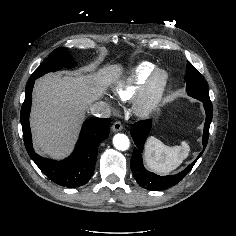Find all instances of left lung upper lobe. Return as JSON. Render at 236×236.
<instances>
[{"mask_svg":"<svg viewBox=\"0 0 236 236\" xmlns=\"http://www.w3.org/2000/svg\"><path fill=\"white\" fill-rule=\"evenodd\" d=\"M185 80L188 95L200 101H210L209 90L203 76L190 62H187Z\"/></svg>","mask_w":236,"mask_h":236,"instance_id":"5c2ea615","label":"left lung upper lobe"}]
</instances>
